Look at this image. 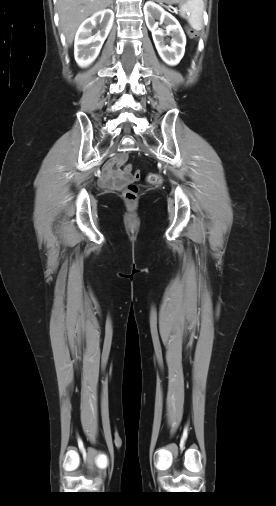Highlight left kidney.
Listing matches in <instances>:
<instances>
[{
	"label": "left kidney",
	"mask_w": 276,
	"mask_h": 506,
	"mask_svg": "<svg viewBox=\"0 0 276 506\" xmlns=\"http://www.w3.org/2000/svg\"><path fill=\"white\" fill-rule=\"evenodd\" d=\"M143 10L146 25L152 33L160 57L168 65L178 64L184 55L186 45V36L181 25L174 16L152 1L146 2ZM155 19H159L160 22L167 25L166 32L172 36L170 46L166 45L164 32L158 28Z\"/></svg>",
	"instance_id": "1"
}]
</instances>
